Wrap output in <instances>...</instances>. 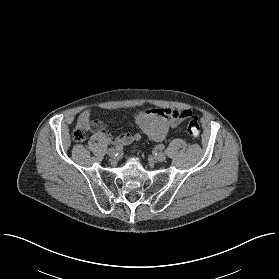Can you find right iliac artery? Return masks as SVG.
Here are the masks:
<instances>
[{
    "label": "right iliac artery",
    "instance_id": "82829eb1",
    "mask_svg": "<svg viewBox=\"0 0 279 279\" xmlns=\"http://www.w3.org/2000/svg\"><path fill=\"white\" fill-rule=\"evenodd\" d=\"M115 149H116V151H121V150H122V147L117 145V146L115 147Z\"/></svg>",
    "mask_w": 279,
    "mask_h": 279
}]
</instances>
